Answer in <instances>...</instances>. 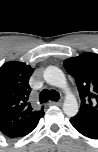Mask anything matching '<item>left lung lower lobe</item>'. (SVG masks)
<instances>
[{
    "instance_id": "left-lung-lower-lobe-1",
    "label": "left lung lower lobe",
    "mask_w": 98,
    "mask_h": 152,
    "mask_svg": "<svg viewBox=\"0 0 98 152\" xmlns=\"http://www.w3.org/2000/svg\"><path fill=\"white\" fill-rule=\"evenodd\" d=\"M70 122L82 135L91 139H98V124L76 119L74 117L70 119Z\"/></svg>"
}]
</instances>
